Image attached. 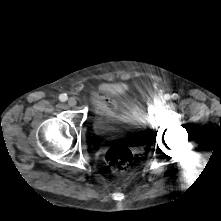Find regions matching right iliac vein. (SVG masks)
Returning a JSON list of instances; mask_svg holds the SVG:
<instances>
[{
	"label": "right iliac vein",
	"mask_w": 221,
	"mask_h": 221,
	"mask_svg": "<svg viewBox=\"0 0 221 221\" xmlns=\"http://www.w3.org/2000/svg\"><path fill=\"white\" fill-rule=\"evenodd\" d=\"M68 104L69 106H75L77 104V100L75 97H70L69 100H68Z\"/></svg>",
	"instance_id": "1"
}]
</instances>
